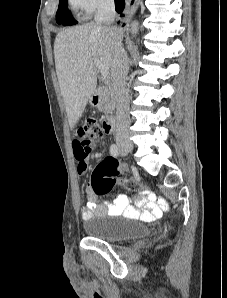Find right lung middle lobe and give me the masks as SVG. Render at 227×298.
I'll return each instance as SVG.
<instances>
[{
    "label": "right lung middle lobe",
    "instance_id": "obj_1",
    "mask_svg": "<svg viewBox=\"0 0 227 298\" xmlns=\"http://www.w3.org/2000/svg\"><path fill=\"white\" fill-rule=\"evenodd\" d=\"M56 21L58 24L74 25L77 23L67 8V0H60L58 11L56 13Z\"/></svg>",
    "mask_w": 227,
    "mask_h": 298
}]
</instances>
